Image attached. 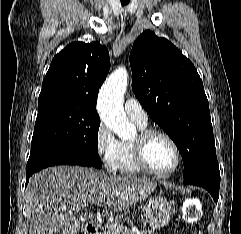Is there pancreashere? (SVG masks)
Listing matches in <instances>:
<instances>
[{
    "label": "pancreas",
    "instance_id": "cf45deb5",
    "mask_svg": "<svg viewBox=\"0 0 241 234\" xmlns=\"http://www.w3.org/2000/svg\"><path fill=\"white\" fill-rule=\"evenodd\" d=\"M117 228H119L120 231H117ZM102 234H127V233L122 225L115 223V224H111L108 227H105L102 231ZM141 234H150V233L145 231V232H142Z\"/></svg>",
    "mask_w": 241,
    "mask_h": 234
}]
</instances>
